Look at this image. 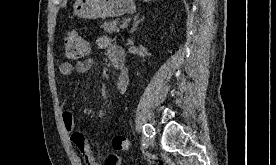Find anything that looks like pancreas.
<instances>
[{"mask_svg":"<svg viewBox=\"0 0 276 165\" xmlns=\"http://www.w3.org/2000/svg\"><path fill=\"white\" fill-rule=\"evenodd\" d=\"M101 28H103L104 31H106L108 33L118 32L119 31L118 21L104 22L101 25Z\"/></svg>","mask_w":276,"mask_h":165,"instance_id":"1","label":"pancreas"}]
</instances>
